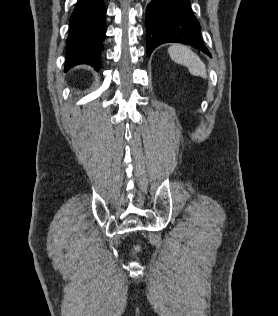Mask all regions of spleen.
<instances>
[{"label": "spleen", "mask_w": 278, "mask_h": 316, "mask_svg": "<svg viewBox=\"0 0 278 316\" xmlns=\"http://www.w3.org/2000/svg\"><path fill=\"white\" fill-rule=\"evenodd\" d=\"M168 53L173 61L185 65L191 74L195 76L207 77L205 64L199 56L185 45H172L168 48Z\"/></svg>", "instance_id": "obj_1"}]
</instances>
